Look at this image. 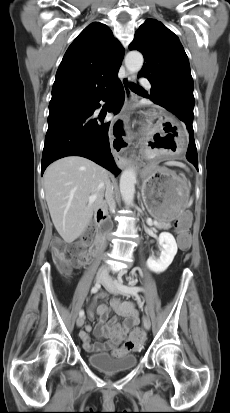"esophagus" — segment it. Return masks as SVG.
I'll return each mask as SVG.
<instances>
[{
    "mask_svg": "<svg viewBox=\"0 0 230 413\" xmlns=\"http://www.w3.org/2000/svg\"><path fill=\"white\" fill-rule=\"evenodd\" d=\"M134 79H135L134 75L130 72H127L125 78L122 79V84H123V88H124V91H125V106H124V108L122 110V113L119 117L121 120H124L123 117L127 112L128 106L133 101V95H132V92L130 90L129 85H130V82L134 81ZM115 159H116V162H117V164L120 168H125L130 163L129 159H127L125 157H122L120 155H117L115 157Z\"/></svg>",
    "mask_w": 230,
    "mask_h": 413,
    "instance_id": "esophagus-1",
    "label": "esophagus"
}]
</instances>
